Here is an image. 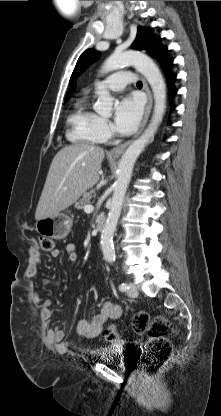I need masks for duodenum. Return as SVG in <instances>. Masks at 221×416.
<instances>
[{"mask_svg": "<svg viewBox=\"0 0 221 416\" xmlns=\"http://www.w3.org/2000/svg\"><path fill=\"white\" fill-rule=\"evenodd\" d=\"M105 224H106V219L105 216H98L96 219V230L97 232H101L103 231V229L105 228Z\"/></svg>", "mask_w": 221, "mask_h": 416, "instance_id": "1", "label": "duodenum"}]
</instances>
